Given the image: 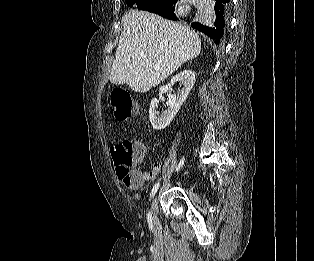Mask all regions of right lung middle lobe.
Returning <instances> with one entry per match:
<instances>
[{"label": "right lung middle lobe", "mask_w": 314, "mask_h": 261, "mask_svg": "<svg viewBox=\"0 0 314 261\" xmlns=\"http://www.w3.org/2000/svg\"><path fill=\"white\" fill-rule=\"evenodd\" d=\"M162 1L163 0H126V3L129 6L136 4L139 10H147L148 8L157 5Z\"/></svg>", "instance_id": "dd1d6c3e"}]
</instances>
